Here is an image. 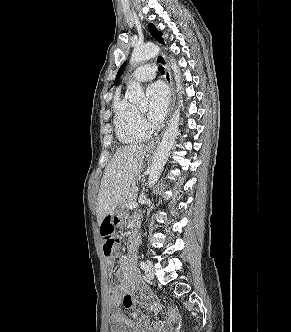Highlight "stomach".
<instances>
[{
  "label": "stomach",
  "mask_w": 291,
  "mask_h": 332,
  "mask_svg": "<svg viewBox=\"0 0 291 332\" xmlns=\"http://www.w3.org/2000/svg\"><path fill=\"white\" fill-rule=\"evenodd\" d=\"M113 224L120 226L124 219V213L121 210H116L111 217Z\"/></svg>",
  "instance_id": "0dacf381"
}]
</instances>
